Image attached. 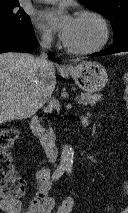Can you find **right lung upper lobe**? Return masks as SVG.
I'll list each match as a JSON object with an SVG mask.
<instances>
[{
    "label": "right lung upper lobe",
    "mask_w": 128,
    "mask_h": 213,
    "mask_svg": "<svg viewBox=\"0 0 128 213\" xmlns=\"http://www.w3.org/2000/svg\"><path fill=\"white\" fill-rule=\"evenodd\" d=\"M19 4L18 0H0V6Z\"/></svg>",
    "instance_id": "cb5924a9"
}]
</instances>
